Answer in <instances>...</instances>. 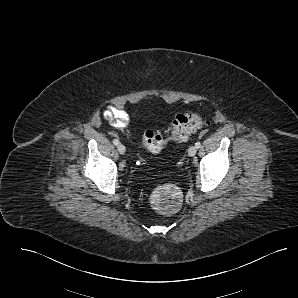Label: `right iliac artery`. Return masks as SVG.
I'll use <instances>...</instances> for the list:
<instances>
[{"label": "right iliac artery", "instance_id": "82829eb1", "mask_svg": "<svg viewBox=\"0 0 298 298\" xmlns=\"http://www.w3.org/2000/svg\"><path fill=\"white\" fill-rule=\"evenodd\" d=\"M113 144L117 146V145H119V141L117 139H114Z\"/></svg>", "mask_w": 298, "mask_h": 298}]
</instances>
